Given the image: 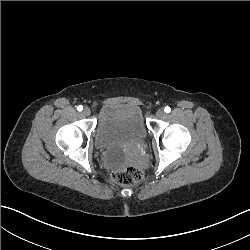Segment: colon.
<instances>
[{
	"mask_svg": "<svg viewBox=\"0 0 250 250\" xmlns=\"http://www.w3.org/2000/svg\"><path fill=\"white\" fill-rule=\"evenodd\" d=\"M111 179L123 186H129L139 183L143 177V170L136 165L125 168L124 166H115L110 173Z\"/></svg>",
	"mask_w": 250,
	"mask_h": 250,
	"instance_id": "5ec220e1",
	"label": "colon"
}]
</instances>
